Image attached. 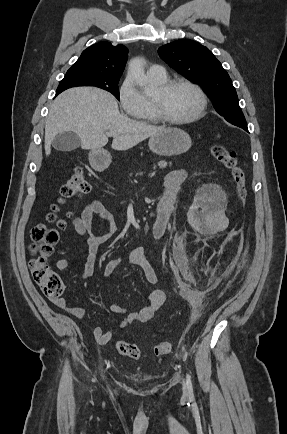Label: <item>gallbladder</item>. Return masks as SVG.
Masks as SVG:
<instances>
[{"mask_svg": "<svg viewBox=\"0 0 287 434\" xmlns=\"http://www.w3.org/2000/svg\"><path fill=\"white\" fill-rule=\"evenodd\" d=\"M52 145L58 151L67 152L77 149L81 145V140L73 132H63L53 139Z\"/></svg>", "mask_w": 287, "mask_h": 434, "instance_id": "gallbladder-1", "label": "gallbladder"}]
</instances>
